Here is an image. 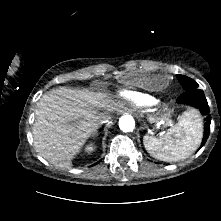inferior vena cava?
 <instances>
[{"label": "inferior vena cava", "mask_w": 221, "mask_h": 221, "mask_svg": "<svg viewBox=\"0 0 221 221\" xmlns=\"http://www.w3.org/2000/svg\"><path fill=\"white\" fill-rule=\"evenodd\" d=\"M98 119H99V123L103 124V123H107L111 119V116L107 113H102L100 114Z\"/></svg>", "instance_id": "1"}]
</instances>
